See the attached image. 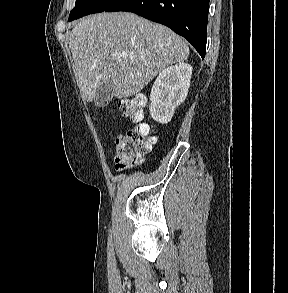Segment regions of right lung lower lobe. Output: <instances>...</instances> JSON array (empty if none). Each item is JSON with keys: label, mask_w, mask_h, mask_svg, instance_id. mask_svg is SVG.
<instances>
[{"label": "right lung lower lobe", "mask_w": 288, "mask_h": 293, "mask_svg": "<svg viewBox=\"0 0 288 293\" xmlns=\"http://www.w3.org/2000/svg\"><path fill=\"white\" fill-rule=\"evenodd\" d=\"M210 0H118L106 12L127 11L168 26L186 38L201 55L206 53Z\"/></svg>", "instance_id": "right-lung-lower-lobe-1"}]
</instances>
